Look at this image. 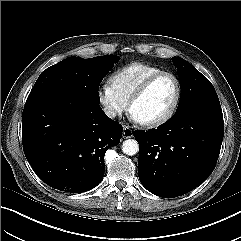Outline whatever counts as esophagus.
I'll list each match as a JSON object with an SVG mask.
<instances>
[{
	"instance_id": "obj_1",
	"label": "esophagus",
	"mask_w": 241,
	"mask_h": 241,
	"mask_svg": "<svg viewBox=\"0 0 241 241\" xmlns=\"http://www.w3.org/2000/svg\"><path fill=\"white\" fill-rule=\"evenodd\" d=\"M133 136V131L131 128H129L128 126H124L123 128V137L124 138H131Z\"/></svg>"
}]
</instances>
